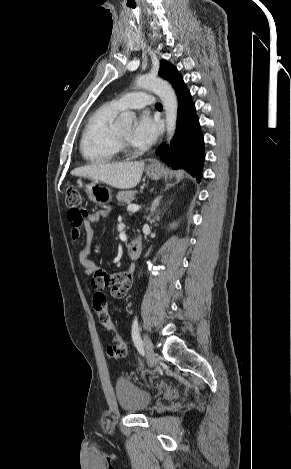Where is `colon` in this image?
<instances>
[{
	"label": "colon",
	"instance_id": "colon-1",
	"mask_svg": "<svg viewBox=\"0 0 291 469\" xmlns=\"http://www.w3.org/2000/svg\"><path fill=\"white\" fill-rule=\"evenodd\" d=\"M66 204L69 212H75L78 217H82L87 212L81 208L82 197L76 188H69L66 193ZM109 296L106 293H96L93 300V309L96 311L101 325L113 334V343L108 346L107 353L114 359H123L127 355V344L116 332L114 323L107 309V300Z\"/></svg>",
	"mask_w": 291,
	"mask_h": 469
}]
</instances>
